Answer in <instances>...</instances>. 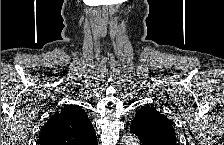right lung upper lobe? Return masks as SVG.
I'll use <instances>...</instances> for the list:
<instances>
[{
  "instance_id": "1",
  "label": "right lung upper lobe",
  "mask_w": 224,
  "mask_h": 145,
  "mask_svg": "<svg viewBox=\"0 0 224 145\" xmlns=\"http://www.w3.org/2000/svg\"><path fill=\"white\" fill-rule=\"evenodd\" d=\"M40 145H96L94 127L86 113L75 105H68L53 114L43 126Z\"/></svg>"
}]
</instances>
